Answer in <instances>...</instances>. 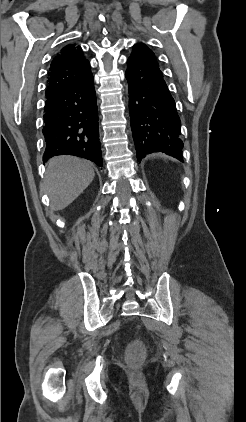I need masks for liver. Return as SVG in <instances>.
<instances>
[{
	"instance_id": "obj_1",
	"label": "liver",
	"mask_w": 246,
	"mask_h": 422,
	"mask_svg": "<svg viewBox=\"0 0 246 422\" xmlns=\"http://www.w3.org/2000/svg\"><path fill=\"white\" fill-rule=\"evenodd\" d=\"M90 162L73 156H58L49 160L43 188L51 200V209L62 210L70 205L93 181Z\"/></svg>"
}]
</instances>
